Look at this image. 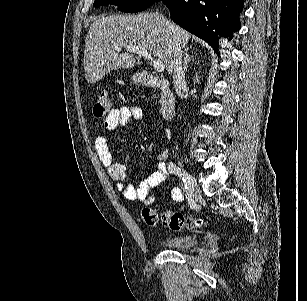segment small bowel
I'll return each mask as SVG.
<instances>
[{"mask_svg": "<svg viewBox=\"0 0 307 301\" xmlns=\"http://www.w3.org/2000/svg\"><path fill=\"white\" fill-rule=\"evenodd\" d=\"M143 112L140 107L135 105L122 106L112 109L107 115L103 127L95 136V149L102 162L107 168L108 175L115 182L118 191L128 200L143 201L150 204L154 201V195H151L152 189L162 184L169 176L168 166L164 162H159L154 171L138 187L134 188L125 183V167L113 161L112 153L108 145L107 131H113L125 126L130 120H142ZM165 153L159 155L163 159ZM171 199L175 202L183 200V192L179 187H173L171 190Z\"/></svg>", "mask_w": 307, "mask_h": 301, "instance_id": "obj_1", "label": "small bowel"}]
</instances>
